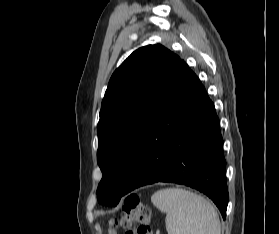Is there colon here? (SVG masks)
Returning a JSON list of instances; mask_svg holds the SVG:
<instances>
[{"label": "colon", "mask_w": 279, "mask_h": 234, "mask_svg": "<svg viewBox=\"0 0 279 234\" xmlns=\"http://www.w3.org/2000/svg\"><path fill=\"white\" fill-rule=\"evenodd\" d=\"M150 213L138 196H129L123 203L119 218L111 222V226H121L125 234H151L149 224ZM110 234H114L110 230Z\"/></svg>", "instance_id": "5ec220e1"}]
</instances>
